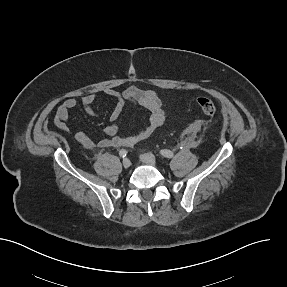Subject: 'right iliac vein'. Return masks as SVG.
<instances>
[{"mask_svg": "<svg viewBox=\"0 0 287 287\" xmlns=\"http://www.w3.org/2000/svg\"><path fill=\"white\" fill-rule=\"evenodd\" d=\"M122 165L124 168H129L131 166V161L128 158L123 159Z\"/></svg>", "mask_w": 287, "mask_h": 287, "instance_id": "1", "label": "right iliac vein"}]
</instances>
